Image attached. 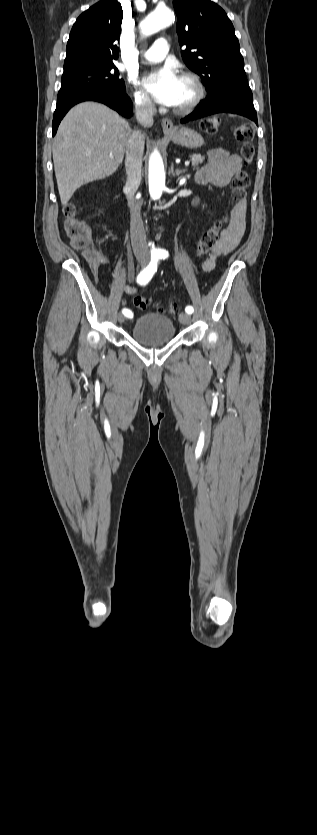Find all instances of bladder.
Segmentation results:
<instances>
[{"label": "bladder", "instance_id": "31cf9c89", "mask_svg": "<svg viewBox=\"0 0 317 835\" xmlns=\"http://www.w3.org/2000/svg\"><path fill=\"white\" fill-rule=\"evenodd\" d=\"M131 337L142 345H161L174 339L175 326L172 320L165 315L147 313L135 321L131 330Z\"/></svg>", "mask_w": 317, "mask_h": 835}]
</instances>
